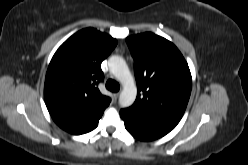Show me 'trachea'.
I'll return each instance as SVG.
<instances>
[{"instance_id": "obj_1", "label": "trachea", "mask_w": 248, "mask_h": 165, "mask_svg": "<svg viewBox=\"0 0 248 165\" xmlns=\"http://www.w3.org/2000/svg\"><path fill=\"white\" fill-rule=\"evenodd\" d=\"M106 88L108 90H110L111 92H118L119 89H120V86H119V84L116 81H114L112 79H109L106 82Z\"/></svg>"}]
</instances>
